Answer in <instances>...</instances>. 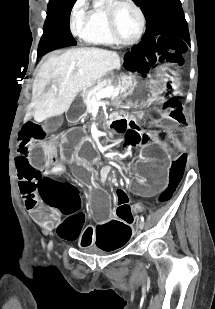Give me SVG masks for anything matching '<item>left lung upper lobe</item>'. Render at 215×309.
I'll return each mask as SVG.
<instances>
[{
    "mask_svg": "<svg viewBox=\"0 0 215 309\" xmlns=\"http://www.w3.org/2000/svg\"><path fill=\"white\" fill-rule=\"evenodd\" d=\"M146 18V31L142 39L154 36L179 37L190 43L188 25L180 0H135Z\"/></svg>",
    "mask_w": 215,
    "mask_h": 309,
    "instance_id": "1",
    "label": "left lung upper lobe"
}]
</instances>
